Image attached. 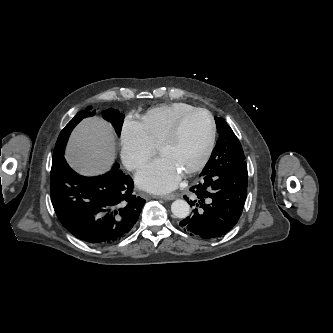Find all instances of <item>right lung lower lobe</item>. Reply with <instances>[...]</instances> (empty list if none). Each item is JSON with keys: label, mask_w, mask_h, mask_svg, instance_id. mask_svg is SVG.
Listing matches in <instances>:
<instances>
[{"label": "right lung lower lobe", "mask_w": 333, "mask_h": 333, "mask_svg": "<svg viewBox=\"0 0 333 333\" xmlns=\"http://www.w3.org/2000/svg\"><path fill=\"white\" fill-rule=\"evenodd\" d=\"M133 187L118 163L106 174L85 177L73 171L63 155L53 157L52 205L62 225L86 243L112 244L132 230L145 203Z\"/></svg>", "instance_id": "98d812e1"}]
</instances>
